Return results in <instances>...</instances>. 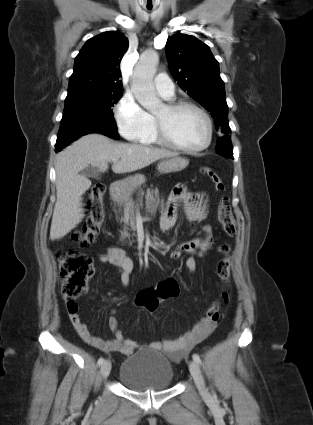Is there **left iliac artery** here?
Listing matches in <instances>:
<instances>
[{"label":"left iliac artery","mask_w":313,"mask_h":425,"mask_svg":"<svg viewBox=\"0 0 313 425\" xmlns=\"http://www.w3.org/2000/svg\"><path fill=\"white\" fill-rule=\"evenodd\" d=\"M192 358H193V360H194L195 362H197L198 364H202L201 359H200V357H199V355H198V354H193V355H192ZM213 397H215V393H214V392H213Z\"/></svg>","instance_id":"left-iliac-artery-1"}]
</instances>
